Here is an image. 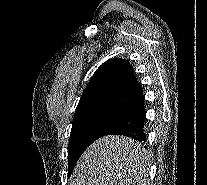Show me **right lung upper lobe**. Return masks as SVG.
Masks as SVG:
<instances>
[{
    "instance_id": "1",
    "label": "right lung upper lobe",
    "mask_w": 207,
    "mask_h": 185,
    "mask_svg": "<svg viewBox=\"0 0 207 185\" xmlns=\"http://www.w3.org/2000/svg\"><path fill=\"white\" fill-rule=\"evenodd\" d=\"M143 95L132 66L124 59H110L94 73L81 95L76 114L94 108L124 111Z\"/></svg>"
}]
</instances>
